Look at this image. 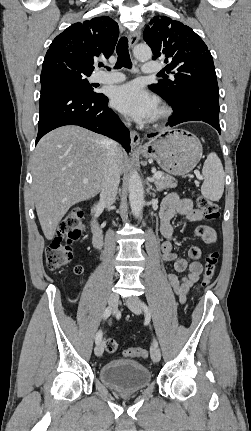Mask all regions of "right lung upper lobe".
Wrapping results in <instances>:
<instances>
[{
	"mask_svg": "<svg viewBox=\"0 0 251 431\" xmlns=\"http://www.w3.org/2000/svg\"><path fill=\"white\" fill-rule=\"evenodd\" d=\"M118 36V24L107 16L75 23L52 41L42 68L53 62L66 61L92 72L95 58L111 56Z\"/></svg>",
	"mask_w": 251,
	"mask_h": 431,
	"instance_id": "1",
	"label": "right lung upper lobe"
}]
</instances>
